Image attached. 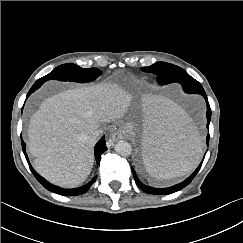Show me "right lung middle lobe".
Returning <instances> with one entry per match:
<instances>
[{"label":"right lung middle lobe","instance_id":"obj_1","mask_svg":"<svg viewBox=\"0 0 243 243\" xmlns=\"http://www.w3.org/2000/svg\"><path fill=\"white\" fill-rule=\"evenodd\" d=\"M101 71L97 68H81L73 63H67L55 68L48 75L38 79L37 83H44L47 80L56 79L60 81L89 82L95 80Z\"/></svg>","mask_w":243,"mask_h":243}]
</instances>
